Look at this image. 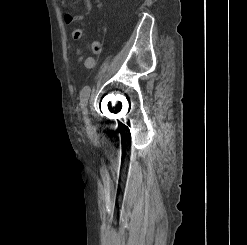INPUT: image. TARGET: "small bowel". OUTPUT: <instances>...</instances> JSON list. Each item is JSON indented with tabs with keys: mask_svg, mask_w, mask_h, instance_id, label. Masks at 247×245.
Wrapping results in <instances>:
<instances>
[{
	"mask_svg": "<svg viewBox=\"0 0 247 245\" xmlns=\"http://www.w3.org/2000/svg\"><path fill=\"white\" fill-rule=\"evenodd\" d=\"M65 1L66 0H59L61 5H65ZM85 3H86V12L82 15H73L71 13H65V15H64L65 23L72 24L76 21H80V20L85 19L91 12V2H90V0H85ZM72 37L74 40H80L83 37V31L79 28H74L72 30ZM92 50L96 54L100 53L101 43L98 41L93 42L92 43ZM76 55H77L78 61L82 62L86 68L92 69L95 66L94 58H92V57L85 58L82 55L80 48H78L76 50Z\"/></svg>",
	"mask_w": 247,
	"mask_h": 245,
	"instance_id": "obj_1",
	"label": "small bowel"
}]
</instances>
